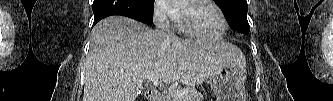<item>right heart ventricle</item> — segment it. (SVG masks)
Wrapping results in <instances>:
<instances>
[{
    "mask_svg": "<svg viewBox=\"0 0 333 101\" xmlns=\"http://www.w3.org/2000/svg\"><path fill=\"white\" fill-rule=\"evenodd\" d=\"M175 21H176L177 28L180 31L185 32V29H184V26H183V23H182V18L180 16L179 8H177V16H176Z\"/></svg>",
    "mask_w": 333,
    "mask_h": 101,
    "instance_id": "right-heart-ventricle-1",
    "label": "right heart ventricle"
}]
</instances>
